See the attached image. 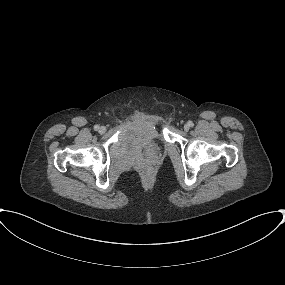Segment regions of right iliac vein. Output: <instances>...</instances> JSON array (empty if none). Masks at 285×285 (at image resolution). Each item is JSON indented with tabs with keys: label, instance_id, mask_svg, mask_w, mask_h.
<instances>
[{
	"label": "right iliac vein",
	"instance_id": "1",
	"mask_svg": "<svg viewBox=\"0 0 285 285\" xmlns=\"http://www.w3.org/2000/svg\"><path fill=\"white\" fill-rule=\"evenodd\" d=\"M99 132H100L101 134H104V133L106 132V127H105V126H101V127L99 128Z\"/></svg>",
	"mask_w": 285,
	"mask_h": 285
}]
</instances>
